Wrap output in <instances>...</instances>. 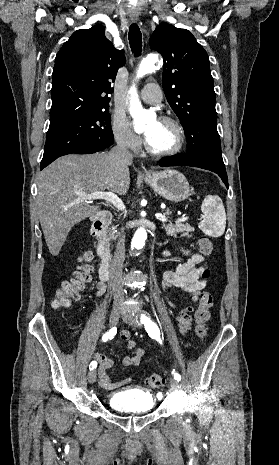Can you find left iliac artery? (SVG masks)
Instances as JSON below:
<instances>
[{"mask_svg": "<svg viewBox=\"0 0 279 465\" xmlns=\"http://www.w3.org/2000/svg\"><path fill=\"white\" fill-rule=\"evenodd\" d=\"M140 320L141 323L144 324L148 335L151 338L157 340L159 343H162V340L160 338V331L157 324L154 321H152L149 316H146L145 314L141 315ZM172 374L174 376V379H176L177 381L181 380V376L178 373L173 371Z\"/></svg>", "mask_w": 279, "mask_h": 465, "instance_id": "44dca946", "label": "left iliac artery"}]
</instances>
